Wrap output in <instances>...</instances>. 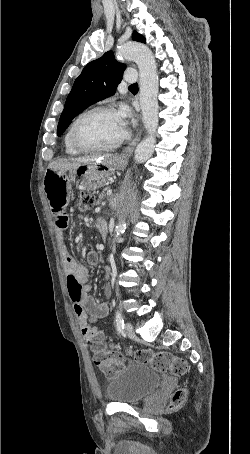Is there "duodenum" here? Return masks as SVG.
<instances>
[{
  "label": "duodenum",
  "instance_id": "duodenum-1",
  "mask_svg": "<svg viewBox=\"0 0 250 454\" xmlns=\"http://www.w3.org/2000/svg\"><path fill=\"white\" fill-rule=\"evenodd\" d=\"M107 232H108V229L105 225V227L102 229V234L105 236L107 234Z\"/></svg>",
  "mask_w": 250,
  "mask_h": 454
}]
</instances>
